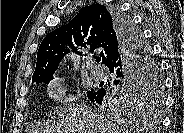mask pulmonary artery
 <instances>
[{
  "label": "pulmonary artery",
  "mask_w": 184,
  "mask_h": 133,
  "mask_svg": "<svg viewBox=\"0 0 184 133\" xmlns=\"http://www.w3.org/2000/svg\"><path fill=\"white\" fill-rule=\"evenodd\" d=\"M89 71H90L91 77H92L94 80H96V81H101V80L104 79V73H103L102 70H100V69H98V68H96V67H91V68L89 69Z\"/></svg>",
  "instance_id": "obj_1"
}]
</instances>
